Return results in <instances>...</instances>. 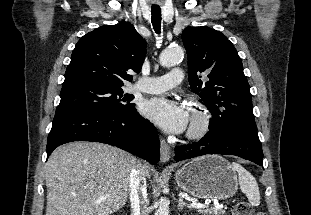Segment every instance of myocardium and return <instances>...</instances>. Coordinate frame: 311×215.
Segmentation results:
<instances>
[{"label": "myocardium", "mask_w": 311, "mask_h": 215, "mask_svg": "<svg viewBox=\"0 0 311 215\" xmlns=\"http://www.w3.org/2000/svg\"><path fill=\"white\" fill-rule=\"evenodd\" d=\"M212 117L209 111L203 106L191 108L190 125L187 131V138L190 140L202 139L210 130Z\"/></svg>", "instance_id": "obj_1"}]
</instances>
